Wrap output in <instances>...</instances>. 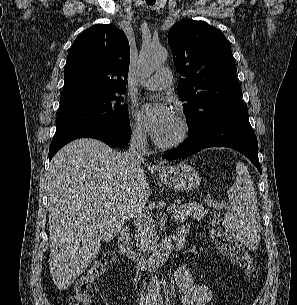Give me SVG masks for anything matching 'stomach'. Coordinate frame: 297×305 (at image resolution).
Returning a JSON list of instances; mask_svg holds the SVG:
<instances>
[{
    "label": "stomach",
    "instance_id": "obj_1",
    "mask_svg": "<svg viewBox=\"0 0 297 305\" xmlns=\"http://www.w3.org/2000/svg\"><path fill=\"white\" fill-rule=\"evenodd\" d=\"M161 180L176 192H188L200 185L198 172L188 164H176L162 167L158 170Z\"/></svg>",
    "mask_w": 297,
    "mask_h": 305
}]
</instances>
